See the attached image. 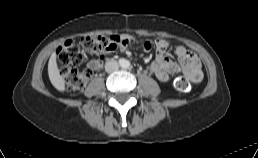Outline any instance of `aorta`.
Instances as JSON below:
<instances>
[{"mask_svg":"<svg viewBox=\"0 0 258 158\" xmlns=\"http://www.w3.org/2000/svg\"><path fill=\"white\" fill-rule=\"evenodd\" d=\"M121 67L122 68H129L130 67V62L126 59L121 61Z\"/></svg>","mask_w":258,"mask_h":158,"instance_id":"762f6f07","label":"aorta"}]
</instances>
